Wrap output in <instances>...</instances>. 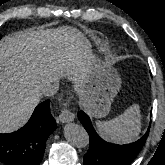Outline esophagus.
<instances>
[{
  "instance_id": "34e87169",
  "label": "esophagus",
  "mask_w": 165,
  "mask_h": 165,
  "mask_svg": "<svg viewBox=\"0 0 165 165\" xmlns=\"http://www.w3.org/2000/svg\"><path fill=\"white\" fill-rule=\"evenodd\" d=\"M75 118L74 113H72L70 110H68L67 108H64L59 117L58 120L62 123H69L72 122Z\"/></svg>"
}]
</instances>
